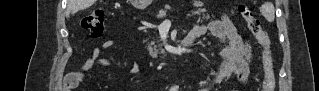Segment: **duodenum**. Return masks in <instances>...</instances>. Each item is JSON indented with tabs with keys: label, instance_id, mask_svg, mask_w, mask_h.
Segmentation results:
<instances>
[{
	"label": "duodenum",
	"instance_id": "duodenum-1",
	"mask_svg": "<svg viewBox=\"0 0 319 91\" xmlns=\"http://www.w3.org/2000/svg\"><path fill=\"white\" fill-rule=\"evenodd\" d=\"M196 36L194 35H191V36H188L186 39H184L180 45L178 46V48L180 49H188L190 47L193 46V44L195 43L196 41Z\"/></svg>",
	"mask_w": 319,
	"mask_h": 91
}]
</instances>
